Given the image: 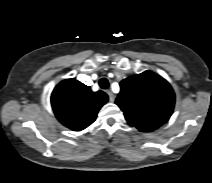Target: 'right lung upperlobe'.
I'll use <instances>...</instances> for the list:
<instances>
[{"mask_svg":"<svg viewBox=\"0 0 212 183\" xmlns=\"http://www.w3.org/2000/svg\"><path fill=\"white\" fill-rule=\"evenodd\" d=\"M108 101L103 91L92 92L80 81L65 79L53 90L51 104L57 119L67 128L80 131L93 123Z\"/></svg>","mask_w":212,"mask_h":183,"instance_id":"right-lung-upper-lobe-1","label":"right lung upper lobe"}]
</instances>
